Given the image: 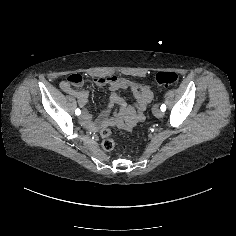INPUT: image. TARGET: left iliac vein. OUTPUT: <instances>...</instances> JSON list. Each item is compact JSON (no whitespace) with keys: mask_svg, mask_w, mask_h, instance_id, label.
<instances>
[{"mask_svg":"<svg viewBox=\"0 0 236 236\" xmlns=\"http://www.w3.org/2000/svg\"><path fill=\"white\" fill-rule=\"evenodd\" d=\"M153 114L155 117L161 118L163 116V111L161 109H159L158 107H155L153 109Z\"/></svg>","mask_w":236,"mask_h":236,"instance_id":"obj_1","label":"left iliac vein"}]
</instances>
